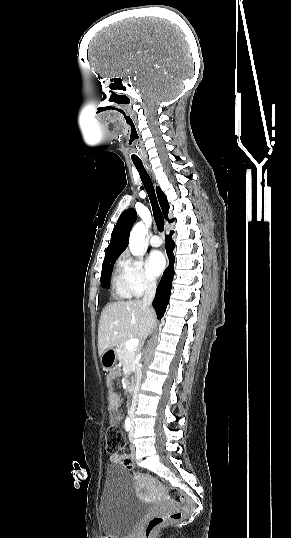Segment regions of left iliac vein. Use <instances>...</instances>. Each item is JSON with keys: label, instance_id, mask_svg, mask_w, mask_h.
Instances as JSON below:
<instances>
[{"label": "left iliac vein", "instance_id": "1", "mask_svg": "<svg viewBox=\"0 0 291 538\" xmlns=\"http://www.w3.org/2000/svg\"><path fill=\"white\" fill-rule=\"evenodd\" d=\"M133 433H134V423L132 421L131 430H130V434H129V438H130L131 441L133 440Z\"/></svg>", "mask_w": 291, "mask_h": 538}]
</instances>
